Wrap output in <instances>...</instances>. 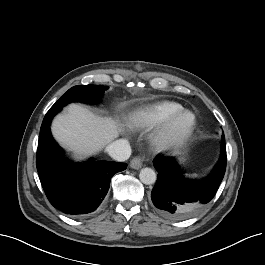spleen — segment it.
Returning a JSON list of instances; mask_svg holds the SVG:
<instances>
[{"mask_svg": "<svg viewBox=\"0 0 265 265\" xmlns=\"http://www.w3.org/2000/svg\"><path fill=\"white\" fill-rule=\"evenodd\" d=\"M185 176L189 178H196L197 174H186Z\"/></svg>", "mask_w": 265, "mask_h": 265, "instance_id": "obj_1", "label": "spleen"}]
</instances>
